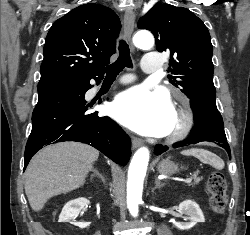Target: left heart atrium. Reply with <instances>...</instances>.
<instances>
[{
    "label": "left heart atrium",
    "mask_w": 250,
    "mask_h": 235,
    "mask_svg": "<svg viewBox=\"0 0 250 235\" xmlns=\"http://www.w3.org/2000/svg\"><path fill=\"white\" fill-rule=\"evenodd\" d=\"M174 113L165 92L142 86L119 94L112 107V114L119 122L146 136L168 134Z\"/></svg>",
    "instance_id": "left-heart-atrium-1"
}]
</instances>
